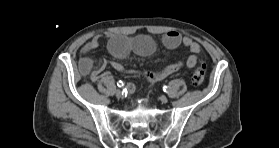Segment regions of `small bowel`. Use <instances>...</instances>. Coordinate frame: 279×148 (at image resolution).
<instances>
[{
  "label": "small bowel",
  "instance_id": "1",
  "mask_svg": "<svg viewBox=\"0 0 279 148\" xmlns=\"http://www.w3.org/2000/svg\"><path fill=\"white\" fill-rule=\"evenodd\" d=\"M108 40V48L110 53L117 59L126 58L129 54L135 53L139 56H149L156 48L154 40L149 36L126 37L117 35H105ZM103 36H95L88 41L80 51V60L78 64L79 72L84 77H89L95 82L100 78L101 72L106 66L104 60L94 61L93 52L99 47ZM162 43L168 49H176L184 46L190 52V55L185 62H177L169 64L156 72L145 73L144 77L151 83L162 81L169 75L178 71L184 64L189 68H194L198 63V56L201 53V46L198 42L190 37L182 36L177 31H169L162 37ZM111 67L118 72L127 73L128 71L118 61H112ZM127 89L133 92L135 87L133 84H128Z\"/></svg>",
  "mask_w": 279,
  "mask_h": 148
}]
</instances>
